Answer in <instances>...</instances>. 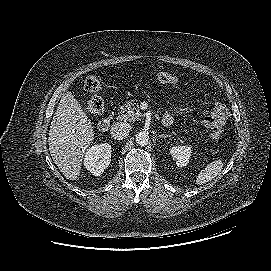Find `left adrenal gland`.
<instances>
[{"label":"left adrenal gland","mask_w":271,"mask_h":271,"mask_svg":"<svg viewBox=\"0 0 271 271\" xmlns=\"http://www.w3.org/2000/svg\"><path fill=\"white\" fill-rule=\"evenodd\" d=\"M167 137H171V136L168 135V134H161V135H159V138H167Z\"/></svg>","instance_id":"1"}]
</instances>
